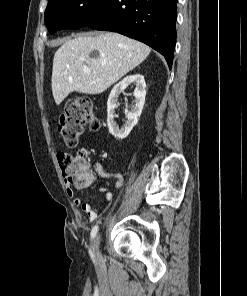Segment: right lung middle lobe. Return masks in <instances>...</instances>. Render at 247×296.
I'll use <instances>...</instances> for the list:
<instances>
[{"instance_id":"obj_1","label":"right lung middle lobe","mask_w":247,"mask_h":296,"mask_svg":"<svg viewBox=\"0 0 247 296\" xmlns=\"http://www.w3.org/2000/svg\"><path fill=\"white\" fill-rule=\"evenodd\" d=\"M105 0H49L45 23L50 34L65 28H81L97 16Z\"/></svg>"}]
</instances>
